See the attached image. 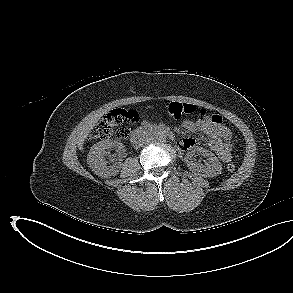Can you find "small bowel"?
Wrapping results in <instances>:
<instances>
[{
  "label": "small bowel",
  "instance_id": "1",
  "mask_svg": "<svg viewBox=\"0 0 293 293\" xmlns=\"http://www.w3.org/2000/svg\"><path fill=\"white\" fill-rule=\"evenodd\" d=\"M182 126L188 131L203 134L208 146L222 162L226 163L231 160V133L225 126L212 123L205 119H200L197 122L184 120ZM195 144L196 141L193 138H183L179 141L178 147L181 150H187Z\"/></svg>",
  "mask_w": 293,
  "mask_h": 293
}]
</instances>
